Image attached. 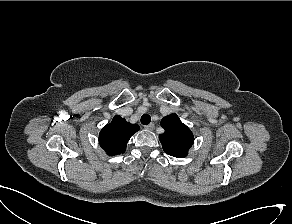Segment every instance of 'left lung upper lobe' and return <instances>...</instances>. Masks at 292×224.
Wrapping results in <instances>:
<instances>
[{"label":"left lung upper lobe","mask_w":292,"mask_h":224,"mask_svg":"<svg viewBox=\"0 0 292 224\" xmlns=\"http://www.w3.org/2000/svg\"><path fill=\"white\" fill-rule=\"evenodd\" d=\"M161 126L165 129V133L159 136L163 150L177 158L186 157L194 142L191 130L181 122L176 114L164 117Z\"/></svg>","instance_id":"1"}]
</instances>
